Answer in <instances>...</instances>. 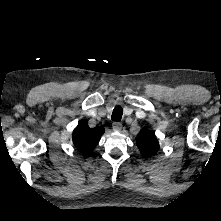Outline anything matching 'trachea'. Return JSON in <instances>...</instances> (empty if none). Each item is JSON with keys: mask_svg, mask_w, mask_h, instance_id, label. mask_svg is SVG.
<instances>
[{"mask_svg": "<svg viewBox=\"0 0 221 221\" xmlns=\"http://www.w3.org/2000/svg\"><path fill=\"white\" fill-rule=\"evenodd\" d=\"M122 114H123V109H122L120 106L115 107L114 110H113L111 119H112L113 121L118 122V121L121 120Z\"/></svg>", "mask_w": 221, "mask_h": 221, "instance_id": "1", "label": "trachea"}]
</instances>
